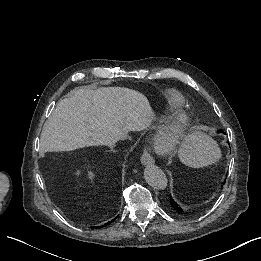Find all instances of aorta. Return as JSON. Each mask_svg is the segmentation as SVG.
<instances>
[{
	"mask_svg": "<svg viewBox=\"0 0 261 261\" xmlns=\"http://www.w3.org/2000/svg\"><path fill=\"white\" fill-rule=\"evenodd\" d=\"M144 177L146 182L157 190L165 189L168 184L167 177L163 170L154 164L146 166Z\"/></svg>",
	"mask_w": 261,
	"mask_h": 261,
	"instance_id": "762f6f07",
	"label": "aorta"
}]
</instances>
